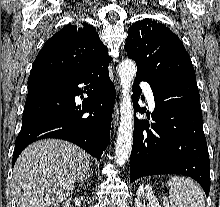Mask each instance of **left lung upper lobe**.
Masks as SVG:
<instances>
[{"instance_id": "left-lung-upper-lobe-1", "label": "left lung upper lobe", "mask_w": 220, "mask_h": 207, "mask_svg": "<svg viewBox=\"0 0 220 207\" xmlns=\"http://www.w3.org/2000/svg\"><path fill=\"white\" fill-rule=\"evenodd\" d=\"M124 49L137 64V73L150 81L169 76L196 79L191 59L182 41L166 26L143 19L128 29Z\"/></svg>"}]
</instances>
